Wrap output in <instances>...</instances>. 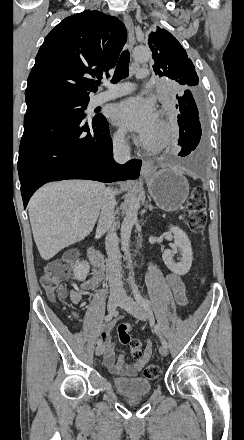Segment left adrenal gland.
<instances>
[{"mask_svg": "<svg viewBox=\"0 0 244 440\" xmlns=\"http://www.w3.org/2000/svg\"><path fill=\"white\" fill-rule=\"evenodd\" d=\"M149 210H153V206H151V204H149Z\"/></svg>", "mask_w": 244, "mask_h": 440, "instance_id": "a2214340", "label": "left adrenal gland"}]
</instances>
